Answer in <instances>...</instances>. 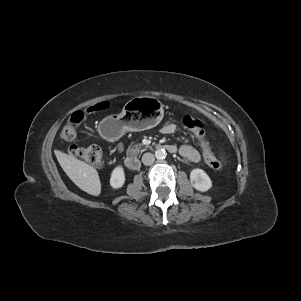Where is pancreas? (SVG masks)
<instances>
[{
	"instance_id": "cf45deb5",
	"label": "pancreas",
	"mask_w": 301,
	"mask_h": 301,
	"mask_svg": "<svg viewBox=\"0 0 301 301\" xmlns=\"http://www.w3.org/2000/svg\"><path fill=\"white\" fill-rule=\"evenodd\" d=\"M143 144H131L127 149V154H138L139 152L144 151Z\"/></svg>"
}]
</instances>
